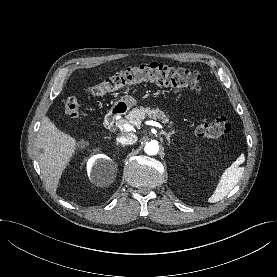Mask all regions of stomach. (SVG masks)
<instances>
[{
	"label": "stomach",
	"mask_w": 277,
	"mask_h": 277,
	"mask_svg": "<svg viewBox=\"0 0 277 277\" xmlns=\"http://www.w3.org/2000/svg\"><path fill=\"white\" fill-rule=\"evenodd\" d=\"M137 104V100L133 96H126L117 100L114 105L119 111H126Z\"/></svg>",
	"instance_id": "0dacf381"
}]
</instances>
